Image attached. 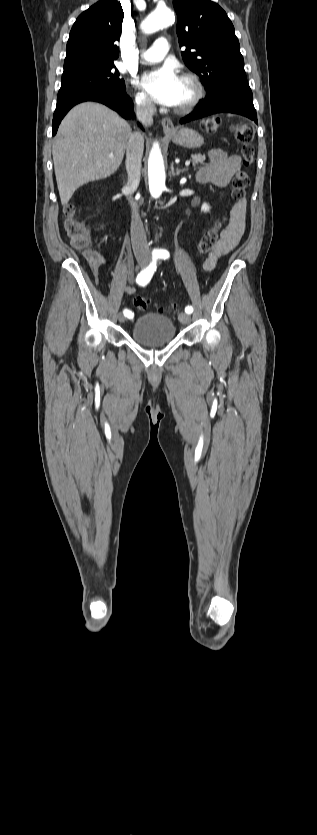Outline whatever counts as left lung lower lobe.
I'll use <instances>...</instances> for the list:
<instances>
[{
  "label": "left lung lower lobe",
  "mask_w": 317,
  "mask_h": 835,
  "mask_svg": "<svg viewBox=\"0 0 317 835\" xmlns=\"http://www.w3.org/2000/svg\"><path fill=\"white\" fill-rule=\"evenodd\" d=\"M216 113L239 114L258 123L249 84L233 83L215 100L207 98L201 100L197 108L185 118L181 119L180 123L183 124Z\"/></svg>",
  "instance_id": "left-lung-lower-lobe-1"
}]
</instances>
